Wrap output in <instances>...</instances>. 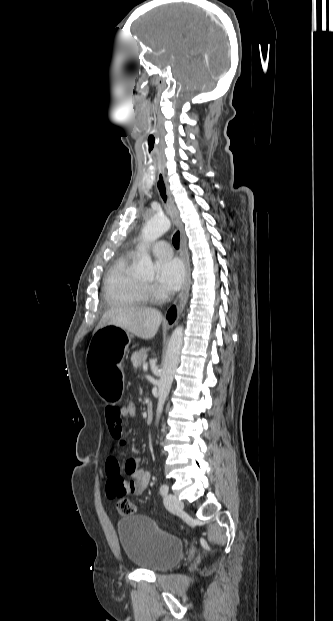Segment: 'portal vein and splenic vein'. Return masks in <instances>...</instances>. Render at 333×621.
<instances>
[{
    "label": "portal vein and splenic vein",
    "instance_id": "1",
    "mask_svg": "<svg viewBox=\"0 0 333 621\" xmlns=\"http://www.w3.org/2000/svg\"><path fill=\"white\" fill-rule=\"evenodd\" d=\"M143 370L147 371L148 370V365L147 364H143Z\"/></svg>",
    "mask_w": 333,
    "mask_h": 621
}]
</instances>
